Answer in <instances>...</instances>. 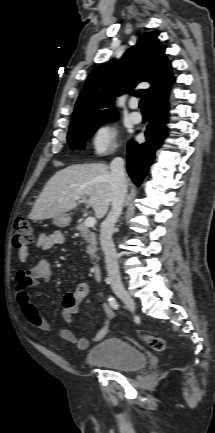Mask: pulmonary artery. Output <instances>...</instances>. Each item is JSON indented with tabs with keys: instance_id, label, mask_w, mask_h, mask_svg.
<instances>
[{
	"instance_id": "e3ab8cb5",
	"label": "pulmonary artery",
	"mask_w": 215,
	"mask_h": 433,
	"mask_svg": "<svg viewBox=\"0 0 215 433\" xmlns=\"http://www.w3.org/2000/svg\"><path fill=\"white\" fill-rule=\"evenodd\" d=\"M129 107L132 109V112L130 113V119L134 122V123H139L142 120V115L141 113H139L138 111H136V107H137V102L136 101H131L129 103Z\"/></svg>"
}]
</instances>
